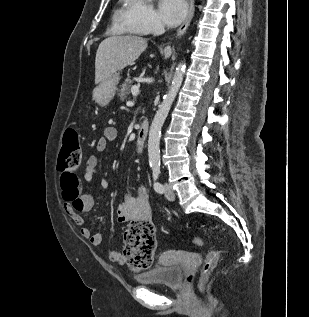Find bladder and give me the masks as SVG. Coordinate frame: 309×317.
I'll return each instance as SVG.
<instances>
[{"label":"bladder","instance_id":"bladder-1","mask_svg":"<svg viewBox=\"0 0 309 317\" xmlns=\"http://www.w3.org/2000/svg\"><path fill=\"white\" fill-rule=\"evenodd\" d=\"M139 284L161 285L167 288H179L183 282V271L180 265H158L136 277Z\"/></svg>","mask_w":309,"mask_h":317}]
</instances>
